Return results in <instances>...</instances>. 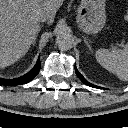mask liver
I'll list each match as a JSON object with an SVG mask.
<instances>
[{
    "label": "liver",
    "instance_id": "obj_1",
    "mask_svg": "<svg viewBox=\"0 0 128 128\" xmlns=\"http://www.w3.org/2000/svg\"><path fill=\"white\" fill-rule=\"evenodd\" d=\"M64 0H0V68L10 66L29 50L40 28V13L52 23Z\"/></svg>",
    "mask_w": 128,
    "mask_h": 128
}]
</instances>
